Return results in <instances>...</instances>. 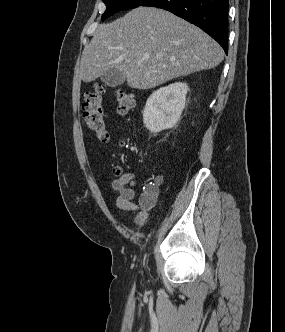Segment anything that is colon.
<instances>
[{
    "label": "colon",
    "instance_id": "1",
    "mask_svg": "<svg viewBox=\"0 0 285 332\" xmlns=\"http://www.w3.org/2000/svg\"><path fill=\"white\" fill-rule=\"evenodd\" d=\"M105 92V85H95L92 90L88 91L84 95L82 104L83 117L87 126L103 143H106L109 140V133L106 126L103 105ZM115 96L119 114L126 115L135 106L136 99L132 93L118 89L115 93ZM116 173L119 174L120 169H116Z\"/></svg>",
    "mask_w": 285,
    "mask_h": 332
}]
</instances>
